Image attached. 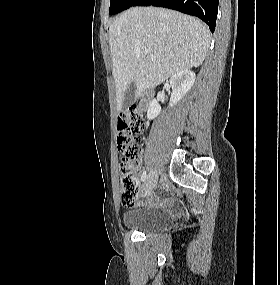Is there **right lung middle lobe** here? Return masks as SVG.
Returning <instances> with one entry per match:
<instances>
[{"label": "right lung middle lobe", "instance_id": "obj_1", "mask_svg": "<svg viewBox=\"0 0 280 285\" xmlns=\"http://www.w3.org/2000/svg\"><path fill=\"white\" fill-rule=\"evenodd\" d=\"M138 0H111L109 14H117L133 6Z\"/></svg>", "mask_w": 280, "mask_h": 285}]
</instances>
